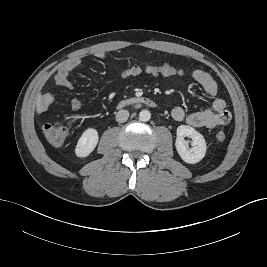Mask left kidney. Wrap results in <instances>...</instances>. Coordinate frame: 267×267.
<instances>
[{
    "instance_id": "left-kidney-1",
    "label": "left kidney",
    "mask_w": 267,
    "mask_h": 267,
    "mask_svg": "<svg viewBox=\"0 0 267 267\" xmlns=\"http://www.w3.org/2000/svg\"><path fill=\"white\" fill-rule=\"evenodd\" d=\"M185 137L192 139V148H188V143L184 139ZM175 146L182 160L188 164L198 163L206 154V142L203 135L187 125H180L177 128Z\"/></svg>"
}]
</instances>
